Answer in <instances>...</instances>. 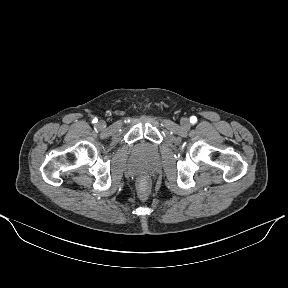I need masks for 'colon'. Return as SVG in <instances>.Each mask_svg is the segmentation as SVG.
<instances>
[{"mask_svg": "<svg viewBox=\"0 0 288 288\" xmlns=\"http://www.w3.org/2000/svg\"><path fill=\"white\" fill-rule=\"evenodd\" d=\"M139 188H140V192H141L142 194H146L147 191H148V184H147V182H146V181H141V182H140V185H139Z\"/></svg>", "mask_w": 288, "mask_h": 288, "instance_id": "5ec220e1", "label": "colon"}]
</instances>
